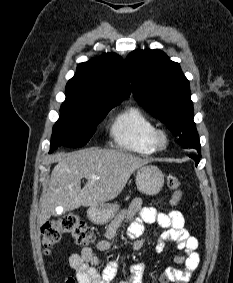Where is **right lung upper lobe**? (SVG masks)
I'll list each match as a JSON object with an SVG mask.
<instances>
[{"label":"right lung upper lobe","instance_id":"obj_1","mask_svg":"<svg viewBox=\"0 0 233 283\" xmlns=\"http://www.w3.org/2000/svg\"><path fill=\"white\" fill-rule=\"evenodd\" d=\"M130 92L124 61L115 53L80 63L66 85L68 98L92 105H118Z\"/></svg>","mask_w":233,"mask_h":283}]
</instances>
